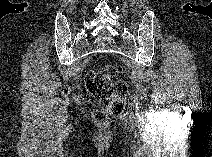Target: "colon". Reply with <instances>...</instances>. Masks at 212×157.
<instances>
[{
  "mask_svg": "<svg viewBox=\"0 0 212 157\" xmlns=\"http://www.w3.org/2000/svg\"><path fill=\"white\" fill-rule=\"evenodd\" d=\"M120 69L109 65L99 70L91 71L86 77L88 92L97 99L110 100L107 110H97L94 117L99 122H105L107 116L118 115L123 109V99L127 94V84L123 80H115Z\"/></svg>",
  "mask_w": 212,
  "mask_h": 157,
  "instance_id": "5ec220e1",
  "label": "colon"
}]
</instances>
